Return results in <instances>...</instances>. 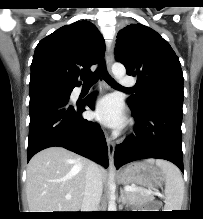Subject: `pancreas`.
<instances>
[{"mask_svg":"<svg viewBox=\"0 0 203 219\" xmlns=\"http://www.w3.org/2000/svg\"><path fill=\"white\" fill-rule=\"evenodd\" d=\"M136 191H126V198L129 202H150L154 200V196L151 193L144 192L142 188H138Z\"/></svg>","mask_w":203,"mask_h":219,"instance_id":"pancreas-1","label":"pancreas"}]
</instances>
